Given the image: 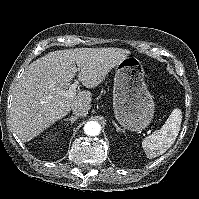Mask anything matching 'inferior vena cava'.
Wrapping results in <instances>:
<instances>
[{
	"label": "inferior vena cava",
	"mask_w": 199,
	"mask_h": 199,
	"mask_svg": "<svg viewBox=\"0 0 199 199\" xmlns=\"http://www.w3.org/2000/svg\"><path fill=\"white\" fill-rule=\"evenodd\" d=\"M73 114L76 116L84 117L88 114V109L83 104H77L72 108Z\"/></svg>",
	"instance_id": "602c4592"
}]
</instances>
